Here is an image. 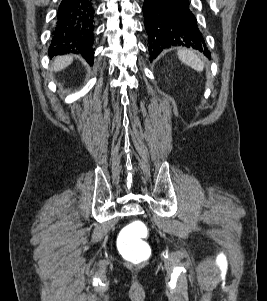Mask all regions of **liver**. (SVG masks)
Masks as SVG:
<instances>
[{
    "label": "liver",
    "mask_w": 267,
    "mask_h": 301,
    "mask_svg": "<svg viewBox=\"0 0 267 301\" xmlns=\"http://www.w3.org/2000/svg\"><path fill=\"white\" fill-rule=\"evenodd\" d=\"M72 62L73 56L71 55L58 56L53 62V70L55 72L61 71L68 67Z\"/></svg>",
    "instance_id": "6515ba94"
}]
</instances>
